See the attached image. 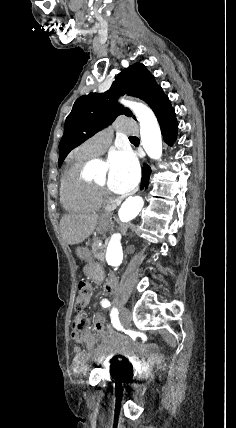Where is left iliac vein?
Here are the masks:
<instances>
[{"label":"left iliac vein","instance_id":"4c4485c4","mask_svg":"<svg viewBox=\"0 0 236 428\" xmlns=\"http://www.w3.org/2000/svg\"><path fill=\"white\" fill-rule=\"evenodd\" d=\"M122 314L123 316H121L120 318V324H123L124 328H129L131 326V318L127 308H124V311Z\"/></svg>","mask_w":236,"mask_h":428}]
</instances>
